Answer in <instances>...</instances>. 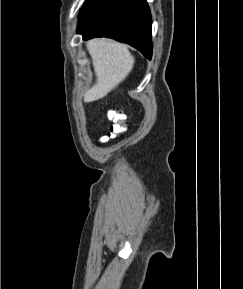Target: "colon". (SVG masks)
<instances>
[{"label":"colon","instance_id":"1","mask_svg":"<svg viewBox=\"0 0 243 289\" xmlns=\"http://www.w3.org/2000/svg\"><path fill=\"white\" fill-rule=\"evenodd\" d=\"M108 118L112 122V124L109 128L108 133L100 138L101 142H105L109 138L117 137L124 133L126 130V117L122 112L118 110H111L108 113Z\"/></svg>","mask_w":243,"mask_h":289}]
</instances>
